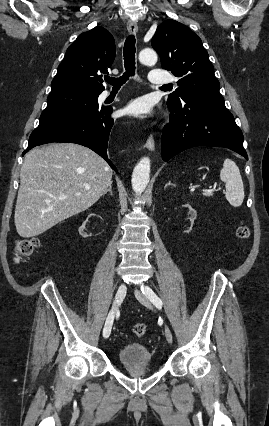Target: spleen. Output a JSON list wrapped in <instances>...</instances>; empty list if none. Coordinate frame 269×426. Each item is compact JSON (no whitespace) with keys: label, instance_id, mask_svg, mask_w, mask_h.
Here are the masks:
<instances>
[{"label":"spleen","instance_id":"obj_1","mask_svg":"<svg viewBox=\"0 0 269 426\" xmlns=\"http://www.w3.org/2000/svg\"><path fill=\"white\" fill-rule=\"evenodd\" d=\"M220 179L225 183V197L233 207H239L244 200V186L238 166L227 158L220 172Z\"/></svg>","mask_w":269,"mask_h":426}]
</instances>
